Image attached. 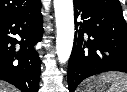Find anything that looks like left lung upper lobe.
I'll return each instance as SVG.
<instances>
[{"label": "left lung upper lobe", "instance_id": "1", "mask_svg": "<svg viewBox=\"0 0 127 92\" xmlns=\"http://www.w3.org/2000/svg\"><path fill=\"white\" fill-rule=\"evenodd\" d=\"M94 8L122 13L119 0H74Z\"/></svg>", "mask_w": 127, "mask_h": 92}]
</instances>
